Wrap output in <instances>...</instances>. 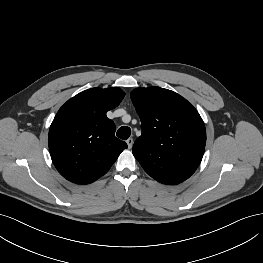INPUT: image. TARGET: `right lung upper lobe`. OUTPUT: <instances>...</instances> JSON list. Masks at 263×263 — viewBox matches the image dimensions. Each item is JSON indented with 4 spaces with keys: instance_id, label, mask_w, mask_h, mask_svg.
Returning <instances> with one entry per match:
<instances>
[{
    "instance_id": "cb5924a9",
    "label": "right lung upper lobe",
    "mask_w": 263,
    "mask_h": 263,
    "mask_svg": "<svg viewBox=\"0 0 263 263\" xmlns=\"http://www.w3.org/2000/svg\"><path fill=\"white\" fill-rule=\"evenodd\" d=\"M125 93L117 87L92 88L69 99L57 112L48 145L59 173L77 184H90L107 173L127 144L115 137L106 112Z\"/></svg>"
}]
</instances>
